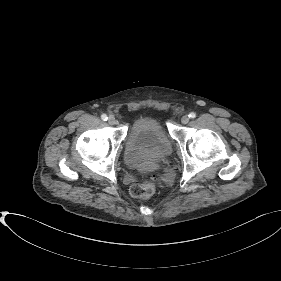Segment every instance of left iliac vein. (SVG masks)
I'll return each instance as SVG.
<instances>
[{"instance_id": "obj_1", "label": "left iliac vein", "mask_w": 281, "mask_h": 281, "mask_svg": "<svg viewBox=\"0 0 281 281\" xmlns=\"http://www.w3.org/2000/svg\"><path fill=\"white\" fill-rule=\"evenodd\" d=\"M189 122V116L188 115H184L182 118H181V123L182 124H187Z\"/></svg>"}]
</instances>
